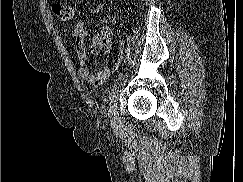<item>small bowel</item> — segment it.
<instances>
[{
	"label": "small bowel",
	"mask_w": 243,
	"mask_h": 182,
	"mask_svg": "<svg viewBox=\"0 0 243 182\" xmlns=\"http://www.w3.org/2000/svg\"><path fill=\"white\" fill-rule=\"evenodd\" d=\"M103 10L101 5L95 6L93 8V13L98 14ZM88 33L85 30L84 23L82 21H78L75 24L73 30V38L74 44L76 48V54L78 59V76L80 79L86 81L87 83L95 86L103 85L111 74V69L109 65H105L97 72H93L88 65V52L85 45V39ZM102 47L106 49V51H110L112 49V42L110 39H105L101 37H95L92 42V50L98 51Z\"/></svg>",
	"instance_id": "c3829d8e"
}]
</instances>
